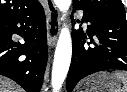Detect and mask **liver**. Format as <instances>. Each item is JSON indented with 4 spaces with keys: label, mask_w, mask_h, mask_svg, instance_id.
Returning a JSON list of instances; mask_svg holds the SVG:
<instances>
[{
    "label": "liver",
    "mask_w": 127,
    "mask_h": 92,
    "mask_svg": "<svg viewBox=\"0 0 127 92\" xmlns=\"http://www.w3.org/2000/svg\"><path fill=\"white\" fill-rule=\"evenodd\" d=\"M0 92H23V89L14 81L0 76Z\"/></svg>",
    "instance_id": "liver-1"
}]
</instances>
